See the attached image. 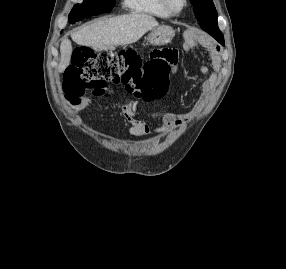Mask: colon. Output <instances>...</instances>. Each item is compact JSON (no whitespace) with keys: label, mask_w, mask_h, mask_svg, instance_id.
<instances>
[{"label":"colon","mask_w":286,"mask_h":269,"mask_svg":"<svg viewBox=\"0 0 286 269\" xmlns=\"http://www.w3.org/2000/svg\"><path fill=\"white\" fill-rule=\"evenodd\" d=\"M176 57L175 50L162 49L153 51L150 60L143 61L133 50L106 54L80 46L67 74L64 91L76 103L87 90L101 95L109 83H114L124 85L135 96L157 99L168 88L171 62Z\"/></svg>","instance_id":"obj_1"}]
</instances>
